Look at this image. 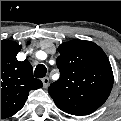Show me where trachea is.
<instances>
[{
  "mask_svg": "<svg viewBox=\"0 0 121 121\" xmlns=\"http://www.w3.org/2000/svg\"><path fill=\"white\" fill-rule=\"evenodd\" d=\"M47 69L43 64L37 65L34 71L36 78H43L46 75Z\"/></svg>",
  "mask_w": 121,
  "mask_h": 121,
  "instance_id": "1",
  "label": "trachea"
}]
</instances>
